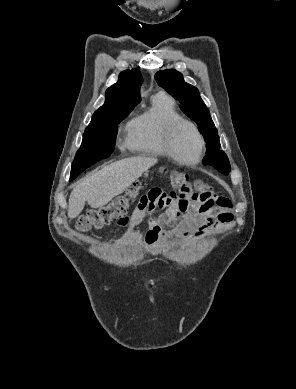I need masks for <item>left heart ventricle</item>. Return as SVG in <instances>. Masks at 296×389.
Masks as SVG:
<instances>
[{
    "label": "left heart ventricle",
    "mask_w": 296,
    "mask_h": 389,
    "mask_svg": "<svg viewBox=\"0 0 296 389\" xmlns=\"http://www.w3.org/2000/svg\"><path fill=\"white\" fill-rule=\"evenodd\" d=\"M199 140L187 125L180 126L174 136V149L176 154L185 160H194L199 153Z\"/></svg>",
    "instance_id": "obj_1"
}]
</instances>
